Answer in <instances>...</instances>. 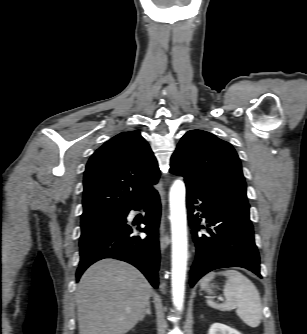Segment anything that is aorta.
Listing matches in <instances>:
<instances>
[{
  "mask_svg": "<svg viewBox=\"0 0 307 334\" xmlns=\"http://www.w3.org/2000/svg\"><path fill=\"white\" fill-rule=\"evenodd\" d=\"M186 189L182 180H176L169 194L172 232V300L176 310L184 305L185 281L188 260L187 218L185 206Z\"/></svg>",
  "mask_w": 307,
  "mask_h": 334,
  "instance_id": "obj_1",
  "label": "aorta"
}]
</instances>
